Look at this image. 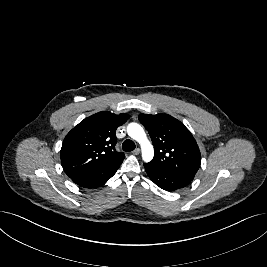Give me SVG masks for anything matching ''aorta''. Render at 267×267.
I'll return each mask as SVG.
<instances>
[{
  "instance_id": "1",
  "label": "aorta",
  "mask_w": 267,
  "mask_h": 267,
  "mask_svg": "<svg viewBox=\"0 0 267 267\" xmlns=\"http://www.w3.org/2000/svg\"><path fill=\"white\" fill-rule=\"evenodd\" d=\"M127 133L140 144L143 160L145 162H150L154 156V149L148 140L144 129L137 123H130L127 126Z\"/></svg>"
}]
</instances>
